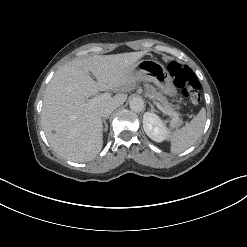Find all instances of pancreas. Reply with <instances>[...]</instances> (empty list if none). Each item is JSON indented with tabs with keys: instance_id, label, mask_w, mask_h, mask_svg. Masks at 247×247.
<instances>
[{
	"instance_id": "1",
	"label": "pancreas",
	"mask_w": 247,
	"mask_h": 247,
	"mask_svg": "<svg viewBox=\"0 0 247 247\" xmlns=\"http://www.w3.org/2000/svg\"><path fill=\"white\" fill-rule=\"evenodd\" d=\"M147 90V95L149 96V98H151L153 101L158 102L163 108L164 113L170 115L173 118V125H180L182 123V120L178 118V113L174 111L173 106L168 102L167 98L160 92H157L153 87L147 86Z\"/></svg>"
}]
</instances>
